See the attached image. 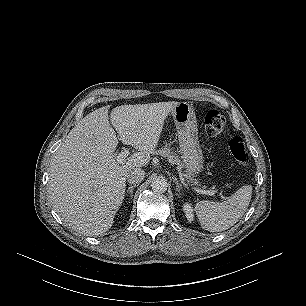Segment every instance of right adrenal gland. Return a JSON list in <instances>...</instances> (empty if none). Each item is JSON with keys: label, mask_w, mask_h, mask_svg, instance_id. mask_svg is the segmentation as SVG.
<instances>
[{"label": "right adrenal gland", "mask_w": 306, "mask_h": 306, "mask_svg": "<svg viewBox=\"0 0 306 306\" xmlns=\"http://www.w3.org/2000/svg\"><path fill=\"white\" fill-rule=\"evenodd\" d=\"M136 187V184L130 185L127 189V193H129L130 197L132 198L133 189Z\"/></svg>", "instance_id": "2a0ac1e0"}]
</instances>
